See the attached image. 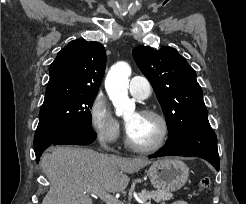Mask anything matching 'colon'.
Instances as JSON below:
<instances>
[{
    "mask_svg": "<svg viewBox=\"0 0 246 204\" xmlns=\"http://www.w3.org/2000/svg\"><path fill=\"white\" fill-rule=\"evenodd\" d=\"M211 181L208 177H203L198 181V188L200 190H208L210 189Z\"/></svg>",
    "mask_w": 246,
    "mask_h": 204,
    "instance_id": "1",
    "label": "colon"
}]
</instances>
